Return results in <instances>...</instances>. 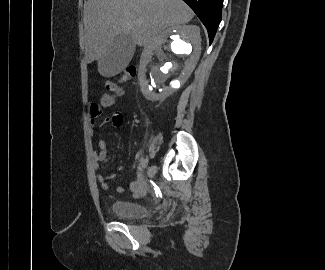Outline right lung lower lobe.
<instances>
[{
  "mask_svg": "<svg viewBox=\"0 0 325 270\" xmlns=\"http://www.w3.org/2000/svg\"><path fill=\"white\" fill-rule=\"evenodd\" d=\"M196 13L208 31L211 43L222 18L223 0H183Z\"/></svg>",
  "mask_w": 325,
  "mask_h": 270,
  "instance_id": "right-lung-lower-lobe-1",
  "label": "right lung lower lobe"
}]
</instances>
